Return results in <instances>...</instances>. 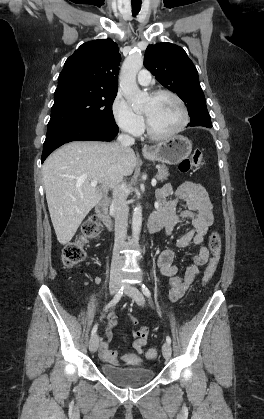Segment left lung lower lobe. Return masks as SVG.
Wrapping results in <instances>:
<instances>
[{"mask_svg":"<svg viewBox=\"0 0 264 419\" xmlns=\"http://www.w3.org/2000/svg\"><path fill=\"white\" fill-rule=\"evenodd\" d=\"M190 116V123L188 124V126H203V127H207V128H211L212 124H211V120L210 117L206 116L205 113L199 114V115H189Z\"/></svg>","mask_w":264,"mask_h":419,"instance_id":"left-lung-lower-lobe-1","label":"left lung lower lobe"}]
</instances>
